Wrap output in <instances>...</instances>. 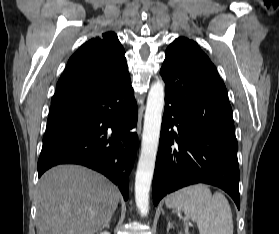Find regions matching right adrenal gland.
I'll return each instance as SVG.
<instances>
[{
	"label": "right adrenal gland",
	"mask_w": 279,
	"mask_h": 234,
	"mask_svg": "<svg viewBox=\"0 0 279 234\" xmlns=\"http://www.w3.org/2000/svg\"><path fill=\"white\" fill-rule=\"evenodd\" d=\"M111 218H112V217H110L109 220L105 223L104 227L109 228V222H110Z\"/></svg>",
	"instance_id": "2a0ac1e0"
}]
</instances>
